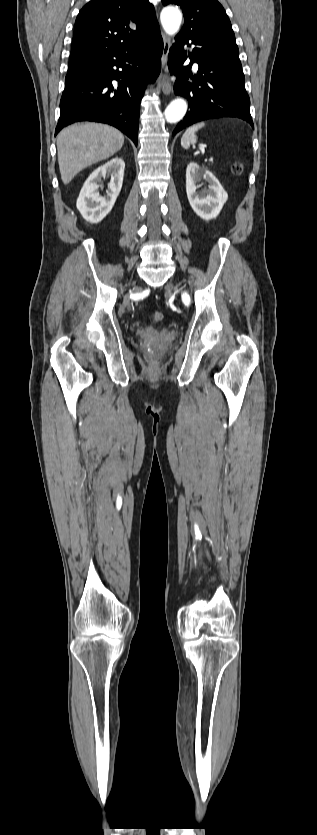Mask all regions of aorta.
I'll use <instances>...</instances> for the list:
<instances>
[{
	"mask_svg": "<svg viewBox=\"0 0 317 835\" xmlns=\"http://www.w3.org/2000/svg\"><path fill=\"white\" fill-rule=\"evenodd\" d=\"M160 20L164 31L172 36L179 31L182 13L176 7H166L160 14ZM186 111V101L181 98L175 99L165 109V119L168 123H176L184 117Z\"/></svg>",
	"mask_w": 317,
	"mask_h": 835,
	"instance_id": "1",
	"label": "aorta"
}]
</instances>
